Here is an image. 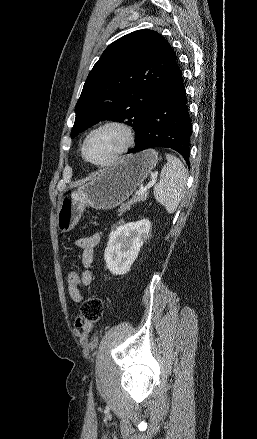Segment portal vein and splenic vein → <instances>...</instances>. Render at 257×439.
<instances>
[{
    "mask_svg": "<svg viewBox=\"0 0 257 439\" xmlns=\"http://www.w3.org/2000/svg\"><path fill=\"white\" fill-rule=\"evenodd\" d=\"M156 182H157V177H153V178L151 179V181L148 183V185L145 186V187H141V188L136 192V194H137V195H142V194H144V193L147 191V189H149V188L152 187L154 184H156Z\"/></svg>",
    "mask_w": 257,
    "mask_h": 439,
    "instance_id": "obj_1",
    "label": "portal vein and splenic vein"
}]
</instances>
